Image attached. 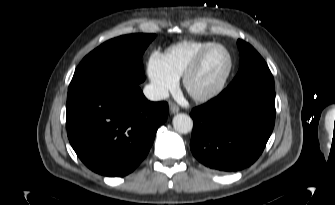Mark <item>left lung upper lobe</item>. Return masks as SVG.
I'll return each instance as SVG.
<instances>
[{"instance_id": "left-lung-upper-lobe-1", "label": "left lung upper lobe", "mask_w": 335, "mask_h": 205, "mask_svg": "<svg viewBox=\"0 0 335 205\" xmlns=\"http://www.w3.org/2000/svg\"><path fill=\"white\" fill-rule=\"evenodd\" d=\"M240 52L239 71L229 86L257 83L274 87V79L266 62L247 42L237 41Z\"/></svg>"}]
</instances>
